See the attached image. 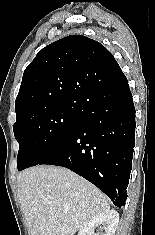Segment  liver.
Instances as JSON below:
<instances>
[{
    "label": "liver",
    "instance_id": "1",
    "mask_svg": "<svg viewBox=\"0 0 155 235\" xmlns=\"http://www.w3.org/2000/svg\"><path fill=\"white\" fill-rule=\"evenodd\" d=\"M17 187L30 235H74L110 209L100 190L63 167L26 169L18 174Z\"/></svg>",
    "mask_w": 155,
    "mask_h": 235
}]
</instances>
